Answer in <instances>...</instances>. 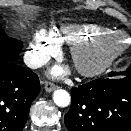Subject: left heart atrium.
I'll return each instance as SVG.
<instances>
[{"mask_svg":"<svg viewBox=\"0 0 131 131\" xmlns=\"http://www.w3.org/2000/svg\"><path fill=\"white\" fill-rule=\"evenodd\" d=\"M54 73L57 74L58 73V69H54Z\"/></svg>","mask_w":131,"mask_h":131,"instance_id":"obj_1","label":"left heart atrium"}]
</instances>
